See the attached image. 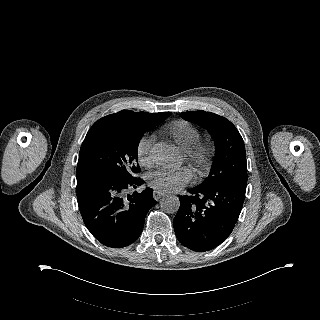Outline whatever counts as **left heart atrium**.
<instances>
[{
	"label": "left heart atrium",
	"instance_id": "1",
	"mask_svg": "<svg viewBox=\"0 0 320 320\" xmlns=\"http://www.w3.org/2000/svg\"><path fill=\"white\" fill-rule=\"evenodd\" d=\"M190 179L189 172L184 168H161L150 174V181L164 191H175Z\"/></svg>",
	"mask_w": 320,
	"mask_h": 320
}]
</instances>
